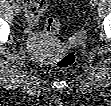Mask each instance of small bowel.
<instances>
[{
	"mask_svg": "<svg viewBox=\"0 0 111 106\" xmlns=\"http://www.w3.org/2000/svg\"><path fill=\"white\" fill-rule=\"evenodd\" d=\"M24 7L27 20L30 27L33 28L37 24L38 18L45 12L46 2L44 0H26L24 1ZM29 34L32 38H35L32 29L29 30Z\"/></svg>",
	"mask_w": 111,
	"mask_h": 106,
	"instance_id": "c3829d8e",
	"label": "small bowel"
}]
</instances>
